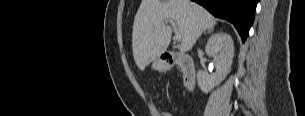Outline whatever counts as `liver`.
Listing matches in <instances>:
<instances>
[{
  "label": "liver",
  "mask_w": 305,
  "mask_h": 116,
  "mask_svg": "<svg viewBox=\"0 0 305 116\" xmlns=\"http://www.w3.org/2000/svg\"><path fill=\"white\" fill-rule=\"evenodd\" d=\"M166 21L178 25L182 52L191 50L201 33L216 25L206 9L190 0H142L132 32L133 57L141 71L167 50L172 29Z\"/></svg>",
  "instance_id": "1"
}]
</instances>
